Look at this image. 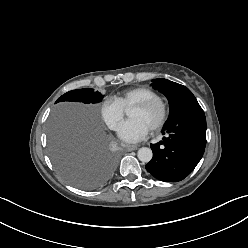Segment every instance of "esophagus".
Instances as JSON below:
<instances>
[{
    "instance_id": "esophagus-1",
    "label": "esophagus",
    "mask_w": 248,
    "mask_h": 248,
    "mask_svg": "<svg viewBox=\"0 0 248 248\" xmlns=\"http://www.w3.org/2000/svg\"><path fill=\"white\" fill-rule=\"evenodd\" d=\"M137 148H138L137 145H126V146H125V149H126L127 151H133V150H136Z\"/></svg>"
}]
</instances>
